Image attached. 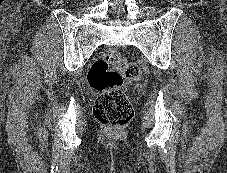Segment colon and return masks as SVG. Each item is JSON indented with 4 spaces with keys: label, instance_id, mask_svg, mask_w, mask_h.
Returning a JSON list of instances; mask_svg holds the SVG:
<instances>
[{
    "label": "colon",
    "instance_id": "colon-1",
    "mask_svg": "<svg viewBox=\"0 0 227 173\" xmlns=\"http://www.w3.org/2000/svg\"><path fill=\"white\" fill-rule=\"evenodd\" d=\"M141 69L114 50H108L95 61L89 72V85L98 93L94 116L102 125L119 129L133 117L132 105L122 86L124 79L136 84L141 80Z\"/></svg>",
    "mask_w": 227,
    "mask_h": 173
}]
</instances>
